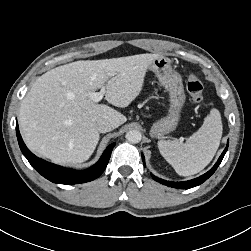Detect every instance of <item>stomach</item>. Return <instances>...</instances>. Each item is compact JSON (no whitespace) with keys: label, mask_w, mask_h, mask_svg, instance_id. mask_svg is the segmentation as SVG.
Segmentation results:
<instances>
[{"label":"stomach","mask_w":251,"mask_h":251,"mask_svg":"<svg viewBox=\"0 0 251 251\" xmlns=\"http://www.w3.org/2000/svg\"><path fill=\"white\" fill-rule=\"evenodd\" d=\"M149 69L156 74L159 82L169 94L170 108L167 116L153 123L150 130V135L152 137L162 138L176 129L186 96L184 93L182 76L172 68L169 58L160 56L154 59Z\"/></svg>","instance_id":"0dacf381"}]
</instances>
